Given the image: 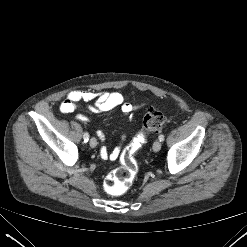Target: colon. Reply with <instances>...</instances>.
I'll return each mask as SVG.
<instances>
[{
	"label": "colon",
	"mask_w": 247,
	"mask_h": 247,
	"mask_svg": "<svg viewBox=\"0 0 247 247\" xmlns=\"http://www.w3.org/2000/svg\"><path fill=\"white\" fill-rule=\"evenodd\" d=\"M164 123L165 116L160 111L154 108L147 111L141 131L121 154V166L111 171L105 178L104 187L109 194L120 195L130 187L138 172L135 153L145 143L147 135L160 131Z\"/></svg>",
	"instance_id": "obj_1"
}]
</instances>
